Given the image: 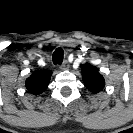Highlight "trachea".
Wrapping results in <instances>:
<instances>
[{"label":"trachea","instance_id":"trachea-1","mask_svg":"<svg viewBox=\"0 0 133 133\" xmlns=\"http://www.w3.org/2000/svg\"><path fill=\"white\" fill-rule=\"evenodd\" d=\"M52 60L55 65H61L63 61V50L61 48H57L53 55H52Z\"/></svg>","mask_w":133,"mask_h":133}]
</instances>
